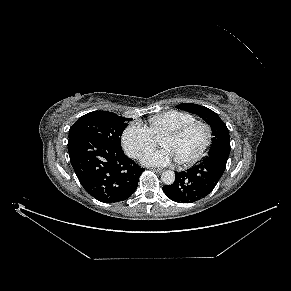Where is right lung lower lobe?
Returning <instances> with one entry per match:
<instances>
[{
  "mask_svg": "<svg viewBox=\"0 0 291 291\" xmlns=\"http://www.w3.org/2000/svg\"><path fill=\"white\" fill-rule=\"evenodd\" d=\"M72 167L83 188L104 203L128 199L144 171L123 150L84 133L69 138Z\"/></svg>",
  "mask_w": 291,
  "mask_h": 291,
  "instance_id": "1",
  "label": "right lung lower lobe"
}]
</instances>
